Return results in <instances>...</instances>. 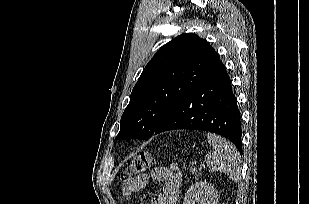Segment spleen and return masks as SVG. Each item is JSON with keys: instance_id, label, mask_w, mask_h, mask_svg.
<instances>
[{"instance_id": "3e777b00", "label": "spleen", "mask_w": 309, "mask_h": 204, "mask_svg": "<svg viewBox=\"0 0 309 204\" xmlns=\"http://www.w3.org/2000/svg\"><path fill=\"white\" fill-rule=\"evenodd\" d=\"M208 143L212 151L205 155V162L213 171H219L228 175L232 180L241 178V161L236 149L226 139L208 133Z\"/></svg>"}]
</instances>
